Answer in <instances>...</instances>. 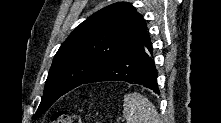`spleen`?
Segmentation results:
<instances>
[{"label": "spleen", "mask_w": 221, "mask_h": 123, "mask_svg": "<svg viewBox=\"0 0 221 123\" xmlns=\"http://www.w3.org/2000/svg\"><path fill=\"white\" fill-rule=\"evenodd\" d=\"M123 115L127 123H158L159 119L155 106L137 92L124 96Z\"/></svg>", "instance_id": "3e777b00"}]
</instances>
